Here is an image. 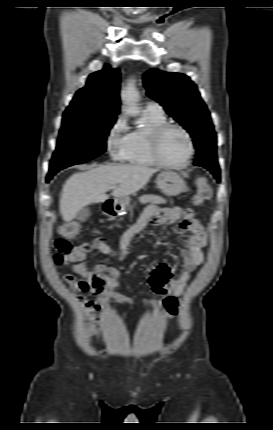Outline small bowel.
I'll return each mask as SVG.
<instances>
[{"label": "small bowel", "instance_id": "c3829d8e", "mask_svg": "<svg viewBox=\"0 0 273 430\" xmlns=\"http://www.w3.org/2000/svg\"><path fill=\"white\" fill-rule=\"evenodd\" d=\"M161 225L180 224L182 230L189 232L185 239V247L181 250L182 269L178 279L173 280L174 265L169 263L160 264L149 277L148 283L151 290L162 299H148L145 305L156 308L163 305L168 311L169 319L175 314L176 298L180 296L190 277V274L204 262L203 248L207 244V235L204 227L195 218V213L191 209H183L180 206L161 207L150 205L143 212L138 221L132 225L121 237L119 252L116 253L104 237H98L93 241V247L97 251L109 255L118 261H122L129 252L130 242L135 235L141 232L147 224ZM73 271L81 276L84 286L92 294L99 295V303L102 307L108 308L111 300L120 299L121 295L117 289L121 286L119 280L120 271L116 267H107L97 264L93 269H88L83 264L73 266ZM127 303L133 307L135 302L129 300ZM93 337L97 339V345L102 347V335L97 327H93L87 334L90 341Z\"/></svg>", "mask_w": 273, "mask_h": 430}]
</instances>
